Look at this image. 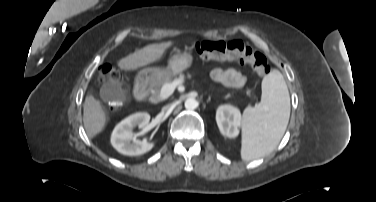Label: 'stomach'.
I'll return each mask as SVG.
<instances>
[{"label":"stomach","mask_w":376,"mask_h":202,"mask_svg":"<svg viewBox=\"0 0 376 202\" xmlns=\"http://www.w3.org/2000/svg\"><path fill=\"white\" fill-rule=\"evenodd\" d=\"M192 61L193 57L190 53L179 52L169 60L167 68L148 67L142 69L138 75L151 83L165 76L174 77L182 73L192 65Z\"/></svg>","instance_id":"stomach-1"}]
</instances>
